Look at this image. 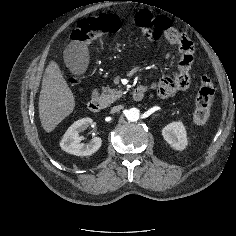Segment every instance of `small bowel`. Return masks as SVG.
Segmentation results:
<instances>
[{"instance_id":"c3829d8e","label":"small bowel","mask_w":236,"mask_h":236,"mask_svg":"<svg viewBox=\"0 0 236 236\" xmlns=\"http://www.w3.org/2000/svg\"><path fill=\"white\" fill-rule=\"evenodd\" d=\"M173 44L178 45L181 51L176 77L165 76L151 85L152 88L156 89V91L165 98H169L176 92L188 88L190 84V70L194 60V47L192 42L186 38V36H184L181 42ZM184 80L187 81V85L179 90L178 84H183Z\"/></svg>"}]
</instances>
